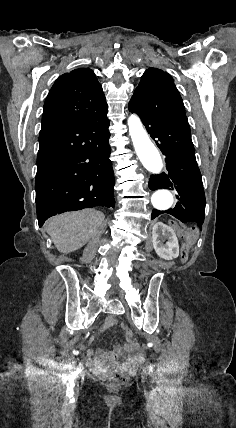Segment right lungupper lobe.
Here are the masks:
<instances>
[{
	"label": "right lung upper lobe",
	"instance_id": "right-lung-upper-lobe-1",
	"mask_svg": "<svg viewBox=\"0 0 236 428\" xmlns=\"http://www.w3.org/2000/svg\"><path fill=\"white\" fill-rule=\"evenodd\" d=\"M107 103L94 72L74 69L60 76L45 104L40 133L82 123L107 112Z\"/></svg>",
	"mask_w": 236,
	"mask_h": 428
}]
</instances>
